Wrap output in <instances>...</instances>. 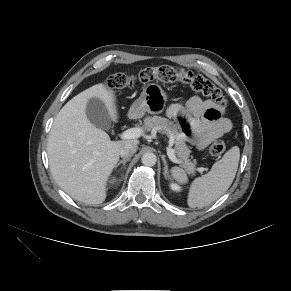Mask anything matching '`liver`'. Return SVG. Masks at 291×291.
Here are the masks:
<instances>
[{
  "label": "liver",
  "mask_w": 291,
  "mask_h": 291,
  "mask_svg": "<svg viewBox=\"0 0 291 291\" xmlns=\"http://www.w3.org/2000/svg\"><path fill=\"white\" fill-rule=\"evenodd\" d=\"M96 97L105 104L110 119L118 121L115 92L96 84L68 101L54 119L47 153L52 176L73 199L97 205L105 201L107 182L120 150L137 139L111 141L109 135L87 118L86 106Z\"/></svg>",
  "instance_id": "6515ba94"
}]
</instances>
